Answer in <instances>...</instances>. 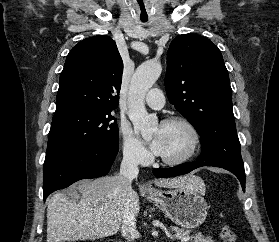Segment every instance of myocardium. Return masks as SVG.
I'll return each instance as SVG.
<instances>
[{"label":"myocardium","mask_w":279,"mask_h":242,"mask_svg":"<svg viewBox=\"0 0 279 242\" xmlns=\"http://www.w3.org/2000/svg\"><path fill=\"white\" fill-rule=\"evenodd\" d=\"M171 124L183 125L189 131L191 136L189 149L186 151L184 155L178 158H166V157L159 156V160L163 164L169 166H178L188 162L190 159L194 157L201 143V135L198 128L195 126V124L186 117L172 116L164 119L161 122V125H171Z\"/></svg>","instance_id":"f54148a6"}]
</instances>
